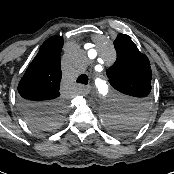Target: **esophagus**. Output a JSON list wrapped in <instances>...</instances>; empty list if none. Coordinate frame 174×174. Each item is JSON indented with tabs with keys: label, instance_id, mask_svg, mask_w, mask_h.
Listing matches in <instances>:
<instances>
[{
	"label": "esophagus",
	"instance_id": "esophagus-1",
	"mask_svg": "<svg viewBox=\"0 0 174 174\" xmlns=\"http://www.w3.org/2000/svg\"><path fill=\"white\" fill-rule=\"evenodd\" d=\"M83 91H82V93L83 94H88L89 92H90V87L89 86H87V87H83V89H82Z\"/></svg>",
	"mask_w": 174,
	"mask_h": 174
}]
</instances>
